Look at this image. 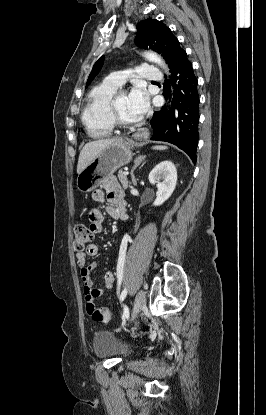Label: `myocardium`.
<instances>
[{"mask_svg":"<svg viewBox=\"0 0 266 415\" xmlns=\"http://www.w3.org/2000/svg\"><path fill=\"white\" fill-rule=\"evenodd\" d=\"M122 94H126V91L121 89L116 91L110 101H109V113H110V118L114 124L115 127L121 128V129H134L136 127H138L139 125H141L142 123V118L138 119L135 122H125L124 120L121 119V117L119 116L117 109H116V100L117 98L122 95Z\"/></svg>","mask_w":266,"mask_h":415,"instance_id":"f54148a6","label":"myocardium"}]
</instances>
